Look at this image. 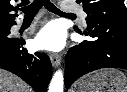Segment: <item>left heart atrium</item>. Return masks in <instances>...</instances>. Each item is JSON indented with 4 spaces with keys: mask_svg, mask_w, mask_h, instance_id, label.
I'll list each match as a JSON object with an SVG mask.
<instances>
[{
    "mask_svg": "<svg viewBox=\"0 0 127 92\" xmlns=\"http://www.w3.org/2000/svg\"><path fill=\"white\" fill-rule=\"evenodd\" d=\"M65 42V31L57 22L48 23L36 36V44L45 50L59 51Z\"/></svg>",
    "mask_w": 127,
    "mask_h": 92,
    "instance_id": "1",
    "label": "left heart atrium"
}]
</instances>
